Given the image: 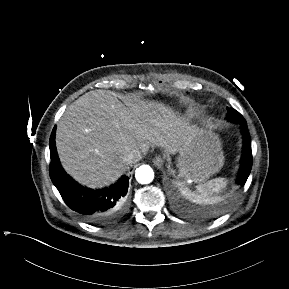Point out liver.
I'll use <instances>...</instances> for the list:
<instances>
[{
    "instance_id": "liver-1",
    "label": "liver",
    "mask_w": 289,
    "mask_h": 289,
    "mask_svg": "<svg viewBox=\"0 0 289 289\" xmlns=\"http://www.w3.org/2000/svg\"><path fill=\"white\" fill-rule=\"evenodd\" d=\"M110 90H93L75 100L57 124L56 148L64 170L80 184L103 188L132 165L127 154L160 146L174 154L191 127L162 103L125 101Z\"/></svg>"
}]
</instances>
